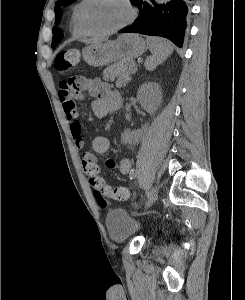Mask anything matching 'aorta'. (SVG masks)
I'll return each instance as SVG.
<instances>
[{"instance_id": "obj_1", "label": "aorta", "mask_w": 245, "mask_h": 300, "mask_svg": "<svg viewBox=\"0 0 245 300\" xmlns=\"http://www.w3.org/2000/svg\"><path fill=\"white\" fill-rule=\"evenodd\" d=\"M158 4L166 3L168 0H155Z\"/></svg>"}]
</instances>
